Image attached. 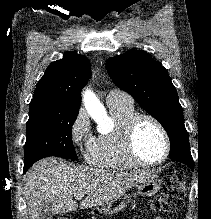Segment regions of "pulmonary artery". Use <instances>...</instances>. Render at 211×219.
<instances>
[{"mask_svg":"<svg viewBox=\"0 0 211 219\" xmlns=\"http://www.w3.org/2000/svg\"><path fill=\"white\" fill-rule=\"evenodd\" d=\"M106 102L107 104H112V103H118V102H126V103H132V98L119 91V90H111L109 91V93L107 94V97H106Z\"/></svg>","mask_w":211,"mask_h":219,"instance_id":"obj_1","label":"pulmonary artery"}]
</instances>
